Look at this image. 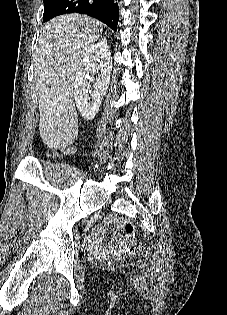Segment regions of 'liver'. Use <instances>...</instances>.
Masks as SVG:
<instances>
[{"label": "liver", "mask_w": 227, "mask_h": 315, "mask_svg": "<svg viewBox=\"0 0 227 315\" xmlns=\"http://www.w3.org/2000/svg\"><path fill=\"white\" fill-rule=\"evenodd\" d=\"M102 31L101 22L80 14L61 15L42 28L33 59L34 80L40 137L51 149L65 148L77 138L74 79L82 58Z\"/></svg>", "instance_id": "6515ba94"}]
</instances>
